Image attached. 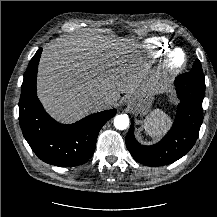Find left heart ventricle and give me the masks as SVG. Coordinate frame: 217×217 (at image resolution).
I'll use <instances>...</instances> for the list:
<instances>
[{
    "label": "left heart ventricle",
    "mask_w": 217,
    "mask_h": 217,
    "mask_svg": "<svg viewBox=\"0 0 217 217\" xmlns=\"http://www.w3.org/2000/svg\"><path fill=\"white\" fill-rule=\"evenodd\" d=\"M175 59H176L177 61H180V60H181V55H180V54H177L176 57H175Z\"/></svg>",
    "instance_id": "b2bd125f"
}]
</instances>
